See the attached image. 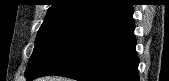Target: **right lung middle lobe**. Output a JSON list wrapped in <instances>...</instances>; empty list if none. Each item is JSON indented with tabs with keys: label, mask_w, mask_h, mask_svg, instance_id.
Segmentation results:
<instances>
[{
	"label": "right lung middle lobe",
	"mask_w": 169,
	"mask_h": 81,
	"mask_svg": "<svg viewBox=\"0 0 169 81\" xmlns=\"http://www.w3.org/2000/svg\"><path fill=\"white\" fill-rule=\"evenodd\" d=\"M87 20L79 17L45 19L35 41L25 75L32 74Z\"/></svg>",
	"instance_id": "dd1d6c3e"
}]
</instances>
